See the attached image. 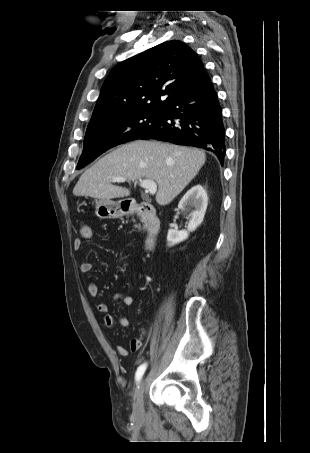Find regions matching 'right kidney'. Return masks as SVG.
I'll list each match as a JSON object with an SVG mask.
<instances>
[{"label":"right kidney","mask_w":310,"mask_h":453,"mask_svg":"<svg viewBox=\"0 0 310 453\" xmlns=\"http://www.w3.org/2000/svg\"><path fill=\"white\" fill-rule=\"evenodd\" d=\"M208 204V197L205 189L201 185H195L182 197L178 204L181 210L194 208L189 214V224L187 230L169 229L167 234V241L169 246L178 244L186 240L190 232L202 223Z\"/></svg>","instance_id":"right-kidney-1"}]
</instances>
